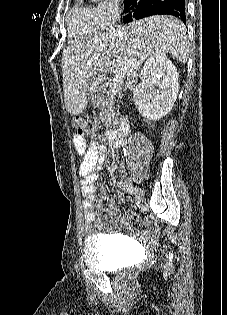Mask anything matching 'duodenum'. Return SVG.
<instances>
[{
	"instance_id": "duodenum-1",
	"label": "duodenum",
	"mask_w": 227,
	"mask_h": 315,
	"mask_svg": "<svg viewBox=\"0 0 227 315\" xmlns=\"http://www.w3.org/2000/svg\"><path fill=\"white\" fill-rule=\"evenodd\" d=\"M130 130L129 119L123 116L120 119L119 127L117 130H112L108 133L107 138L109 143L114 146L121 145L125 142L126 136Z\"/></svg>"
}]
</instances>
